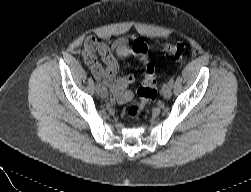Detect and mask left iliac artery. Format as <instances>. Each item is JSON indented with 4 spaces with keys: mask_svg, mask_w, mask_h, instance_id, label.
<instances>
[{
    "mask_svg": "<svg viewBox=\"0 0 251 192\" xmlns=\"http://www.w3.org/2000/svg\"><path fill=\"white\" fill-rule=\"evenodd\" d=\"M173 83H174V78L172 77V78L169 80L168 84L172 86Z\"/></svg>",
    "mask_w": 251,
    "mask_h": 192,
    "instance_id": "44dca946",
    "label": "left iliac artery"
}]
</instances>
